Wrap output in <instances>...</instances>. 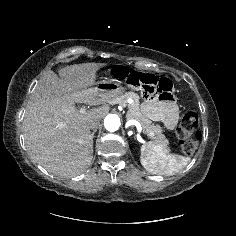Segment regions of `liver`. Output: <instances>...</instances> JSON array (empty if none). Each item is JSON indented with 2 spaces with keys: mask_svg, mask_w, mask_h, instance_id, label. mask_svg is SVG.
Returning a JSON list of instances; mask_svg holds the SVG:
<instances>
[{
  "mask_svg": "<svg viewBox=\"0 0 236 236\" xmlns=\"http://www.w3.org/2000/svg\"><path fill=\"white\" fill-rule=\"evenodd\" d=\"M104 63L70 65L45 72L32 92L23 119L27 149L34 161L57 176L84 172L93 158L90 120H101L108 106L80 113L75 103L102 104L107 99L94 87Z\"/></svg>",
  "mask_w": 236,
  "mask_h": 236,
  "instance_id": "liver-1",
  "label": "liver"
}]
</instances>
